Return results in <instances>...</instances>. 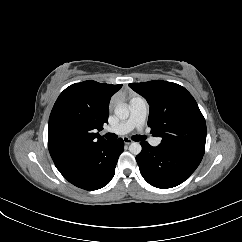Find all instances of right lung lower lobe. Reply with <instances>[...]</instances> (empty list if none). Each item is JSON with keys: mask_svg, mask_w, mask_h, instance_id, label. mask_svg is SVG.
Masks as SVG:
<instances>
[{"mask_svg": "<svg viewBox=\"0 0 242 242\" xmlns=\"http://www.w3.org/2000/svg\"><path fill=\"white\" fill-rule=\"evenodd\" d=\"M124 150L121 138L102 141L87 147L57 165V169L73 185L85 190H97L107 185L115 174V166Z\"/></svg>", "mask_w": 242, "mask_h": 242, "instance_id": "obj_1", "label": "right lung lower lobe"}]
</instances>
